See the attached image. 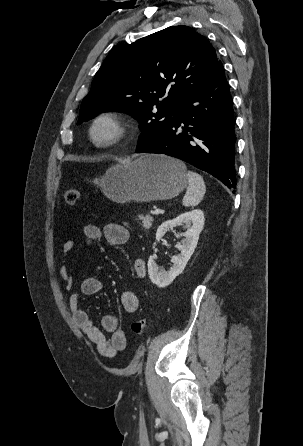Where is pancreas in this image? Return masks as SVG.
Here are the masks:
<instances>
[{
	"label": "pancreas",
	"mask_w": 303,
	"mask_h": 446,
	"mask_svg": "<svg viewBox=\"0 0 303 446\" xmlns=\"http://www.w3.org/2000/svg\"><path fill=\"white\" fill-rule=\"evenodd\" d=\"M139 218L142 220V226L145 229H149V228L152 227V224H153V217L152 216H150V215H146V216L139 215Z\"/></svg>",
	"instance_id": "1"
}]
</instances>
